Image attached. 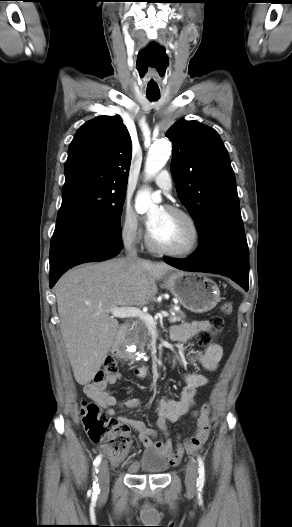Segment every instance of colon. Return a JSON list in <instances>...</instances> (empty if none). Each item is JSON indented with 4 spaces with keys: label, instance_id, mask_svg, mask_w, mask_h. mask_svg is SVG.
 <instances>
[{
    "label": "colon",
    "instance_id": "5ec220e1",
    "mask_svg": "<svg viewBox=\"0 0 292 527\" xmlns=\"http://www.w3.org/2000/svg\"><path fill=\"white\" fill-rule=\"evenodd\" d=\"M232 306L225 303L221 307L222 314H230ZM213 330H204L198 333L197 341L201 345H209L224 329V319L221 315L212 318ZM120 363L115 356H109L101 369L97 372L94 381L102 382L108 376L118 372ZM84 429L92 443L101 446L107 453L116 459L123 458L132 445L130 426L103 412L97 403H84L81 410Z\"/></svg>",
    "mask_w": 292,
    "mask_h": 527
}]
</instances>
